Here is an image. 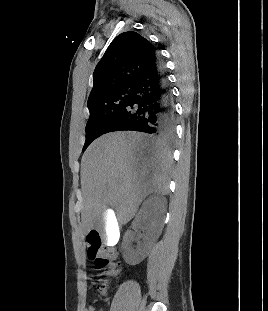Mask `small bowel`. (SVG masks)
Segmentation results:
<instances>
[{
	"label": "small bowel",
	"mask_w": 268,
	"mask_h": 311,
	"mask_svg": "<svg viewBox=\"0 0 268 311\" xmlns=\"http://www.w3.org/2000/svg\"><path fill=\"white\" fill-rule=\"evenodd\" d=\"M85 311H94V308L93 306L89 305V306H86Z\"/></svg>",
	"instance_id": "1"
}]
</instances>
